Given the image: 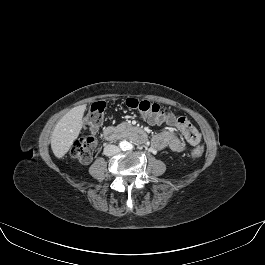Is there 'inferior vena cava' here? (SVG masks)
<instances>
[{
    "label": "inferior vena cava",
    "mask_w": 265,
    "mask_h": 265,
    "mask_svg": "<svg viewBox=\"0 0 265 265\" xmlns=\"http://www.w3.org/2000/svg\"><path fill=\"white\" fill-rule=\"evenodd\" d=\"M120 152V148L115 145L108 144L104 147L103 154L106 156H113Z\"/></svg>",
    "instance_id": "obj_1"
}]
</instances>
